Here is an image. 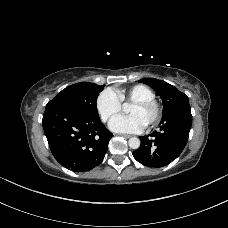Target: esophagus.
<instances>
[{"mask_svg": "<svg viewBox=\"0 0 228 228\" xmlns=\"http://www.w3.org/2000/svg\"><path fill=\"white\" fill-rule=\"evenodd\" d=\"M119 136L124 137V138H130V137H132L131 135H128V134H119Z\"/></svg>", "mask_w": 228, "mask_h": 228, "instance_id": "1", "label": "esophagus"}]
</instances>
